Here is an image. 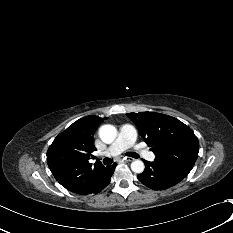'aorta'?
I'll return each mask as SVG.
<instances>
[{"label": "aorta", "instance_id": "aorta-1", "mask_svg": "<svg viewBox=\"0 0 233 233\" xmlns=\"http://www.w3.org/2000/svg\"><path fill=\"white\" fill-rule=\"evenodd\" d=\"M99 136L103 142L109 144L115 140L117 136V130L113 125L106 124L100 127ZM144 169L145 166L141 160H135L131 163V170L135 173H142Z\"/></svg>", "mask_w": 233, "mask_h": 233}]
</instances>
